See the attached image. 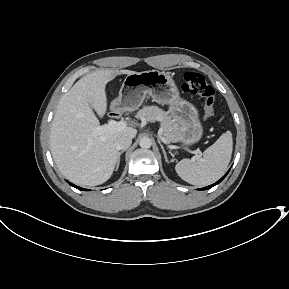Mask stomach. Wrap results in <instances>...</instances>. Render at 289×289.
<instances>
[{
    "instance_id": "1",
    "label": "stomach",
    "mask_w": 289,
    "mask_h": 289,
    "mask_svg": "<svg viewBox=\"0 0 289 289\" xmlns=\"http://www.w3.org/2000/svg\"><path fill=\"white\" fill-rule=\"evenodd\" d=\"M147 95L154 102L169 106L168 113L179 126L177 142L188 148L202 138L203 126L197 108L180 97L169 73L149 70L127 75L112 106L118 110L133 111L141 106Z\"/></svg>"
}]
</instances>
